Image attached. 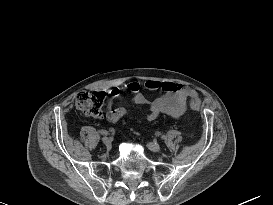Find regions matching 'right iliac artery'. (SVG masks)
<instances>
[{"instance_id":"obj_1","label":"right iliac artery","mask_w":273,"mask_h":205,"mask_svg":"<svg viewBox=\"0 0 273 205\" xmlns=\"http://www.w3.org/2000/svg\"><path fill=\"white\" fill-rule=\"evenodd\" d=\"M100 133L104 134V135H108L109 134L108 131H106V130H102V131H100Z\"/></svg>"}]
</instances>
